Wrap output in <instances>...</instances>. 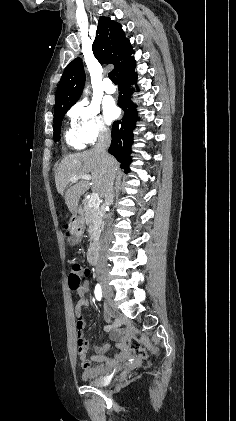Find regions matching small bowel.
Returning a JSON list of instances; mask_svg holds the SVG:
<instances>
[{
	"mask_svg": "<svg viewBox=\"0 0 236 421\" xmlns=\"http://www.w3.org/2000/svg\"><path fill=\"white\" fill-rule=\"evenodd\" d=\"M87 293H88V285H85L81 290L78 291V294L80 296V300L76 304L75 311H76V315H77V318H78L79 329H82V327L84 325V322L82 320V308L85 307V306H88L89 303H90L88 298H87ZM115 326L116 325L114 324L112 327H115ZM80 332L81 331H79V337L83 342V348H84V350L81 353H79L80 363H81L82 368L85 369L84 376L88 377L89 375H93V373H92V369L90 368V361L85 356V346L84 345L86 343L82 339V337L80 335Z\"/></svg>",
	"mask_w": 236,
	"mask_h": 421,
	"instance_id": "small-bowel-1",
	"label": "small bowel"
}]
</instances>
